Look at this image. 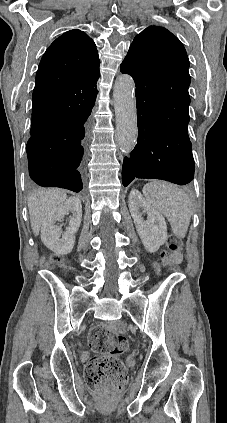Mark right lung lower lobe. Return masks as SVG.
Returning <instances> with one entry per match:
<instances>
[{"label":"right lung lower lobe","instance_id":"right-lung-lower-lobe-1","mask_svg":"<svg viewBox=\"0 0 227 423\" xmlns=\"http://www.w3.org/2000/svg\"><path fill=\"white\" fill-rule=\"evenodd\" d=\"M96 97L79 96L67 101H33L31 125L53 121L56 126L27 142L29 175L41 187L79 192L87 158V119Z\"/></svg>","mask_w":227,"mask_h":423}]
</instances>
